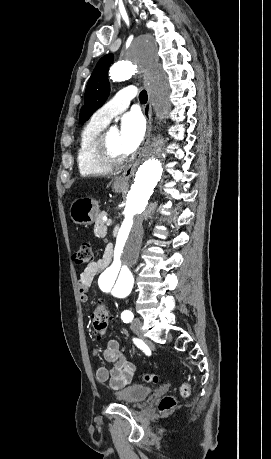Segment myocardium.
Masks as SVG:
<instances>
[{"label": "myocardium", "instance_id": "myocardium-1", "mask_svg": "<svg viewBox=\"0 0 271 459\" xmlns=\"http://www.w3.org/2000/svg\"><path fill=\"white\" fill-rule=\"evenodd\" d=\"M109 132V129L103 130L94 139L90 151L91 158L98 163L120 164L127 157V152H117L110 146Z\"/></svg>", "mask_w": 271, "mask_h": 459}]
</instances>
